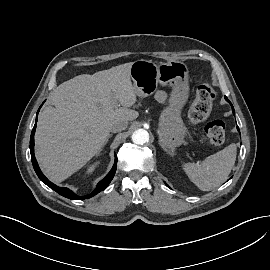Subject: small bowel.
Wrapping results in <instances>:
<instances>
[{"mask_svg": "<svg viewBox=\"0 0 270 270\" xmlns=\"http://www.w3.org/2000/svg\"><path fill=\"white\" fill-rule=\"evenodd\" d=\"M156 96H157L158 98H163L164 93H163L162 91H158V92L156 93Z\"/></svg>", "mask_w": 270, "mask_h": 270, "instance_id": "1", "label": "small bowel"}]
</instances>
